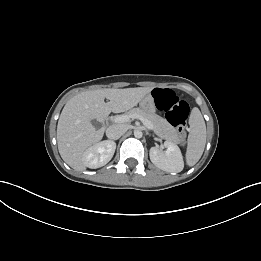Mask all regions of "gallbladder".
I'll use <instances>...</instances> for the list:
<instances>
[{
    "label": "gallbladder",
    "mask_w": 261,
    "mask_h": 261,
    "mask_svg": "<svg viewBox=\"0 0 261 261\" xmlns=\"http://www.w3.org/2000/svg\"><path fill=\"white\" fill-rule=\"evenodd\" d=\"M92 124L96 129H99L101 127V123L97 120H92Z\"/></svg>",
    "instance_id": "1"
}]
</instances>
